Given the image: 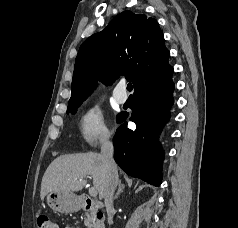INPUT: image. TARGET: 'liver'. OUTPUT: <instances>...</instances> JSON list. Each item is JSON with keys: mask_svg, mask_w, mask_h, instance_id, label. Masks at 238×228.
Listing matches in <instances>:
<instances>
[{"mask_svg": "<svg viewBox=\"0 0 238 228\" xmlns=\"http://www.w3.org/2000/svg\"><path fill=\"white\" fill-rule=\"evenodd\" d=\"M89 175L93 178L100 199L104 198L108 171L101 154L89 152L59 156L44 173L40 197L43 200L53 191H80L86 185Z\"/></svg>", "mask_w": 238, "mask_h": 228, "instance_id": "6515ba94", "label": "liver"}]
</instances>
